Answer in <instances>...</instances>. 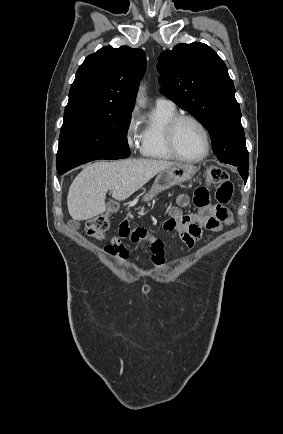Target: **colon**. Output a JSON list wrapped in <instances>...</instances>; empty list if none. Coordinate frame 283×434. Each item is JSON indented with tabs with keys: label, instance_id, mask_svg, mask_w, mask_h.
Instances as JSON below:
<instances>
[{
	"label": "colon",
	"instance_id": "colon-1",
	"mask_svg": "<svg viewBox=\"0 0 283 434\" xmlns=\"http://www.w3.org/2000/svg\"><path fill=\"white\" fill-rule=\"evenodd\" d=\"M207 179L216 186L215 199L217 203L220 205L228 204L234 190L228 172L221 167L213 166L207 170ZM109 226L110 219L107 214L96 216L86 224L88 235L96 239H102Z\"/></svg>",
	"mask_w": 283,
	"mask_h": 434
}]
</instances>
